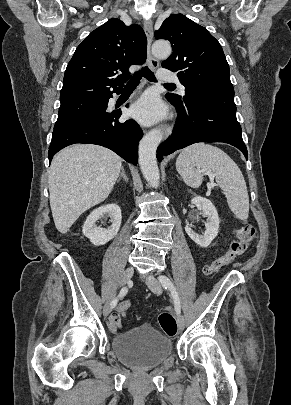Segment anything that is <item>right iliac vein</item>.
<instances>
[{
  "instance_id": "obj_1",
  "label": "right iliac vein",
  "mask_w": 291,
  "mask_h": 405,
  "mask_svg": "<svg viewBox=\"0 0 291 405\" xmlns=\"http://www.w3.org/2000/svg\"><path fill=\"white\" fill-rule=\"evenodd\" d=\"M134 273V269L132 267L127 268L124 273L122 274V277L120 279L119 285L120 287H123L124 285H126L129 280L131 279V277L133 276ZM111 302L112 300H109L103 309V314L104 316H108L112 310V306H111Z\"/></svg>"
}]
</instances>
